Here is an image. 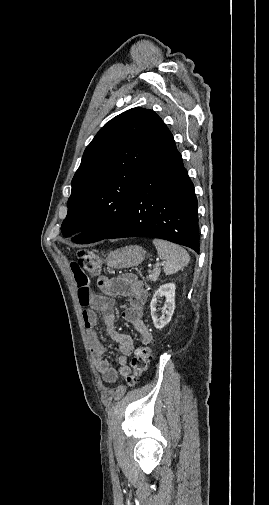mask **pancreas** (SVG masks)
<instances>
[{"label": "pancreas", "instance_id": "cf45deb5", "mask_svg": "<svg viewBox=\"0 0 269 505\" xmlns=\"http://www.w3.org/2000/svg\"><path fill=\"white\" fill-rule=\"evenodd\" d=\"M149 276L147 277L148 280H151L153 282L157 281L160 275V269H156L153 271H149Z\"/></svg>", "mask_w": 269, "mask_h": 505}]
</instances>
